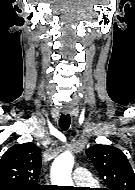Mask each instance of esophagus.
Wrapping results in <instances>:
<instances>
[{"label": "esophagus", "mask_w": 135, "mask_h": 190, "mask_svg": "<svg viewBox=\"0 0 135 190\" xmlns=\"http://www.w3.org/2000/svg\"><path fill=\"white\" fill-rule=\"evenodd\" d=\"M62 112L64 113V114H68V113H70L71 112V108L69 107V106H63L62 107Z\"/></svg>", "instance_id": "34e87169"}]
</instances>
